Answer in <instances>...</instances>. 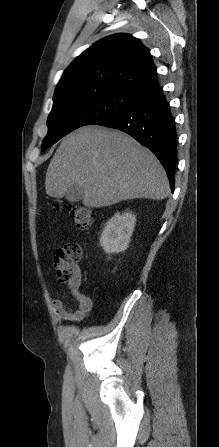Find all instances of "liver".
<instances>
[{"label":"liver","mask_w":219,"mask_h":447,"mask_svg":"<svg viewBox=\"0 0 219 447\" xmlns=\"http://www.w3.org/2000/svg\"><path fill=\"white\" fill-rule=\"evenodd\" d=\"M75 185L91 208L135 198L161 200L170 193L166 172L150 150L125 133L98 126L65 136L48 166L47 195L62 198Z\"/></svg>","instance_id":"1"}]
</instances>
